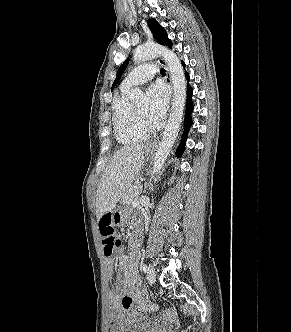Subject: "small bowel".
<instances>
[{
    "instance_id": "obj_1",
    "label": "small bowel",
    "mask_w": 291,
    "mask_h": 332,
    "mask_svg": "<svg viewBox=\"0 0 291 332\" xmlns=\"http://www.w3.org/2000/svg\"><path fill=\"white\" fill-rule=\"evenodd\" d=\"M138 256L135 249H132L129 256L119 255V284L109 294L111 331L164 332L174 314L166 311L163 317L154 323L144 314L155 311L158 307L144 297L136 269ZM107 270L108 274L112 275V261H108Z\"/></svg>"
}]
</instances>
